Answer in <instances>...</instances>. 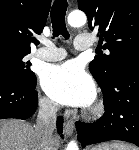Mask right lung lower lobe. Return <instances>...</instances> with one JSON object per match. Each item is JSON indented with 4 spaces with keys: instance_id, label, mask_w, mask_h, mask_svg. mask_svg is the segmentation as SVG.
Listing matches in <instances>:
<instances>
[{
    "instance_id": "98d812e1",
    "label": "right lung lower lobe",
    "mask_w": 139,
    "mask_h": 150,
    "mask_svg": "<svg viewBox=\"0 0 139 150\" xmlns=\"http://www.w3.org/2000/svg\"><path fill=\"white\" fill-rule=\"evenodd\" d=\"M36 81L29 84L0 77V119L31 117L37 107ZM62 117H58L57 127L62 133Z\"/></svg>"
}]
</instances>
